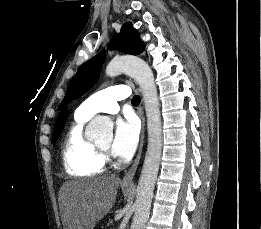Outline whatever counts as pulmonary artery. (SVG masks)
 <instances>
[{
	"label": "pulmonary artery",
	"instance_id": "1",
	"mask_svg": "<svg viewBox=\"0 0 261 229\" xmlns=\"http://www.w3.org/2000/svg\"><path fill=\"white\" fill-rule=\"evenodd\" d=\"M128 88V86H112L91 94L79 106L85 113L80 116L89 118L101 112L116 114L119 111L117 101L129 96Z\"/></svg>",
	"mask_w": 261,
	"mask_h": 229
}]
</instances>
